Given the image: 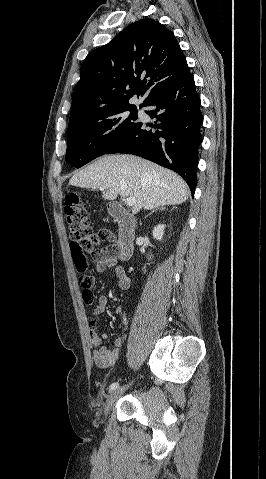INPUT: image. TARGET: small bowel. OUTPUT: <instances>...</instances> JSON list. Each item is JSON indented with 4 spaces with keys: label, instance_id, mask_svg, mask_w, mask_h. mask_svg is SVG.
I'll return each instance as SVG.
<instances>
[{
    "label": "small bowel",
    "instance_id": "c3829d8e",
    "mask_svg": "<svg viewBox=\"0 0 266 479\" xmlns=\"http://www.w3.org/2000/svg\"><path fill=\"white\" fill-rule=\"evenodd\" d=\"M95 271L102 272L107 268H115L116 280L119 289L126 290L130 286V278L125 273L123 267L118 263L117 258L113 254V250L110 246L100 250L96 253L95 259ZM107 307V297L100 295L98 302L93 310L94 316L102 314ZM118 317H124L125 312L122 306H117L114 311ZM89 336L90 342L93 347L92 358L96 366L99 368L112 367L119 359L121 355V349L124 344V337L119 336L114 341V347L107 349L101 346L102 341L108 338V334L101 331L96 319H92L89 322Z\"/></svg>",
    "mask_w": 266,
    "mask_h": 479
}]
</instances>
